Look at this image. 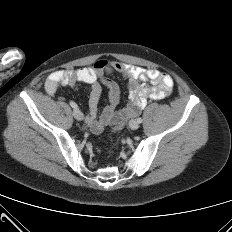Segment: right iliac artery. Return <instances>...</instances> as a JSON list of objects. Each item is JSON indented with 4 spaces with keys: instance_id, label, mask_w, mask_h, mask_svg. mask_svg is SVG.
Returning <instances> with one entry per match:
<instances>
[{
    "instance_id": "82829eb1",
    "label": "right iliac artery",
    "mask_w": 232,
    "mask_h": 232,
    "mask_svg": "<svg viewBox=\"0 0 232 232\" xmlns=\"http://www.w3.org/2000/svg\"><path fill=\"white\" fill-rule=\"evenodd\" d=\"M70 105L72 108L77 109V104L73 101H70Z\"/></svg>"
}]
</instances>
